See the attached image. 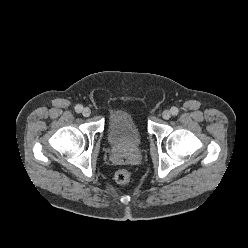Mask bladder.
I'll return each instance as SVG.
<instances>
[{"label":"bladder","instance_id":"31cf9c89","mask_svg":"<svg viewBox=\"0 0 248 248\" xmlns=\"http://www.w3.org/2000/svg\"><path fill=\"white\" fill-rule=\"evenodd\" d=\"M107 139L113 150L129 152L139 148L142 134L131 114L127 111H114L107 125Z\"/></svg>","mask_w":248,"mask_h":248}]
</instances>
